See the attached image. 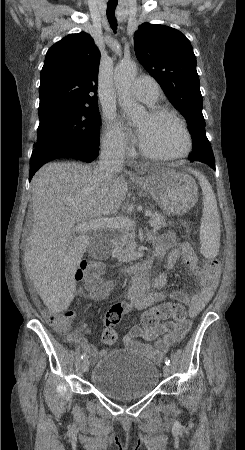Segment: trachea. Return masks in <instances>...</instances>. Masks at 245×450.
Wrapping results in <instances>:
<instances>
[{
  "mask_svg": "<svg viewBox=\"0 0 245 450\" xmlns=\"http://www.w3.org/2000/svg\"><path fill=\"white\" fill-rule=\"evenodd\" d=\"M117 1H109L107 3V18L110 23L111 28L116 32L117 29V21L115 18V9L117 6Z\"/></svg>",
  "mask_w": 245,
  "mask_h": 450,
  "instance_id": "3493384b",
  "label": "trachea"
}]
</instances>
